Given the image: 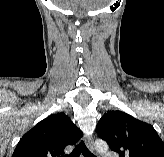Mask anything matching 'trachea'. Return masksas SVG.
<instances>
[{
	"mask_svg": "<svg viewBox=\"0 0 164 157\" xmlns=\"http://www.w3.org/2000/svg\"><path fill=\"white\" fill-rule=\"evenodd\" d=\"M84 157H95L86 147L85 143L81 141L73 150V152L68 157H79L80 154Z\"/></svg>",
	"mask_w": 164,
	"mask_h": 157,
	"instance_id": "obj_1",
	"label": "trachea"
}]
</instances>
